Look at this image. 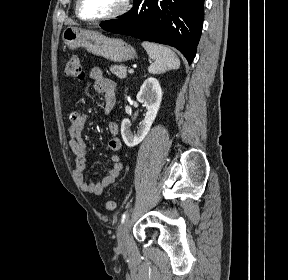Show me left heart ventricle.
Masks as SVG:
<instances>
[{"label": "left heart ventricle", "instance_id": "1", "mask_svg": "<svg viewBox=\"0 0 288 280\" xmlns=\"http://www.w3.org/2000/svg\"><path fill=\"white\" fill-rule=\"evenodd\" d=\"M124 0H81V13L87 18H98L118 10Z\"/></svg>", "mask_w": 288, "mask_h": 280}]
</instances>
